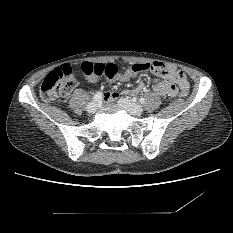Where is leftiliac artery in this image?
<instances>
[{"label": "left iliac artery", "instance_id": "44dca946", "mask_svg": "<svg viewBox=\"0 0 233 233\" xmlns=\"http://www.w3.org/2000/svg\"><path fill=\"white\" fill-rule=\"evenodd\" d=\"M139 102H140L141 104H144V103H145V99H144V98H140V99H139Z\"/></svg>", "mask_w": 233, "mask_h": 233}]
</instances>
